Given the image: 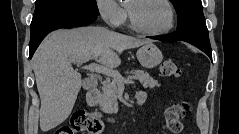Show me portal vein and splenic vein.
I'll use <instances>...</instances> for the list:
<instances>
[{"mask_svg":"<svg viewBox=\"0 0 239 134\" xmlns=\"http://www.w3.org/2000/svg\"><path fill=\"white\" fill-rule=\"evenodd\" d=\"M81 63H77V65H80ZM84 69L96 72V73H100L106 76H110L113 77L116 81H118L119 83V87H124L125 83H134V81L132 80H126L124 79L119 72L114 71L108 67L96 64V63H90L89 65H85L83 66Z\"/></svg>","mask_w":239,"mask_h":134,"instance_id":"obj_1","label":"portal vein and splenic vein"}]
</instances>
